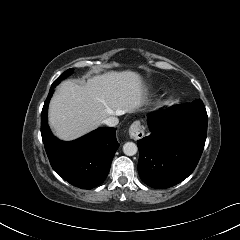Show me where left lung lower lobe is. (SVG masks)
<instances>
[{
	"instance_id": "obj_1",
	"label": "left lung lower lobe",
	"mask_w": 240,
	"mask_h": 240,
	"mask_svg": "<svg viewBox=\"0 0 240 240\" xmlns=\"http://www.w3.org/2000/svg\"><path fill=\"white\" fill-rule=\"evenodd\" d=\"M207 122L201 99L152 113L148 118L151 134L137 141L141 180L164 189L186 179L204 149Z\"/></svg>"
}]
</instances>
